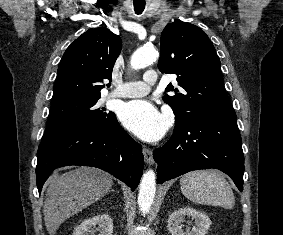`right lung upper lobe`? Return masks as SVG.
Masks as SVG:
<instances>
[{
    "instance_id": "1",
    "label": "right lung upper lobe",
    "mask_w": 283,
    "mask_h": 235,
    "mask_svg": "<svg viewBox=\"0 0 283 235\" xmlns=\"http://www.w3.org/2000/svg\"><path fill=\"white\" fill-rule=\"evenodd\" d=\"M121 39L105 27L89 29L65 51L54 84L52 103L72 97H97L111 80Z\"/></svg>"
}]
</instances>
